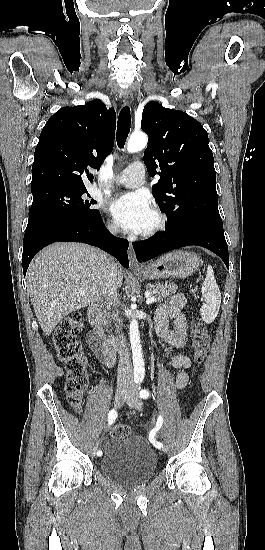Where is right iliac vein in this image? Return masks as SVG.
Returning a JSON list of instances; mask_svg holds the SVG:
<instances>
[{"mask_svg": "<svg viewBox=\"0 0 265 550\" xmlns=\"http://www.w3.org/2000/svg\"><path fill=\"white\" fill-rule=\"evenodd\" d=\"M127 394H128V390H127L126 387L121 386V385L117 387V390H116V392H115V397H114V405H115V407L118 408V407H120V406L123 404V402H124V400H125ZM96 448H97V447H96ZM96 448H95V450H94V455H95V452H96Z\"/></svg>", "mask_w": 265, "mask_h": 550, "instance_id": "right-iliac-vein-1", "label": "right iliac vein"}]
</instances>
